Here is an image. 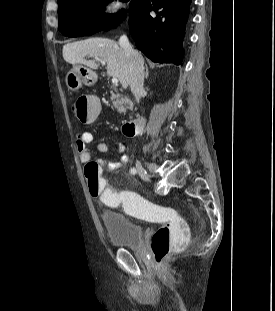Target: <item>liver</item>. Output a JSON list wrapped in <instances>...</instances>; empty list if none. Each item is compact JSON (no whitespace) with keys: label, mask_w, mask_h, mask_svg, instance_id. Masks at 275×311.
Masks as SVG:
<instances>
[{"label":"liver","mask_w":275,"mask_h":311,"mask_svg":"<svg viewBox=\"0 0 275 311\" xmlns=\"http://www.w3.org/2000/svg\"><path fill=\"white\" fill-rule=\"evenodd\" d=\"M85 57L102 59L107 64L108 75L117 77L125 89L130 85L129 59L115 41L105 38H90L63 46V58L66 62L97 69L98 65L93 61L86 60Z\"/></svg>","instance_id":"obj_1"}]
</instances>
